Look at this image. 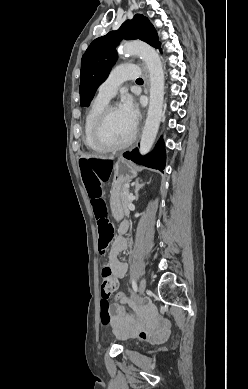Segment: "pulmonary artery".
Wrapping results in <instances>:
<instances>
[{
    "label": "pulmonary artery",
    "mask_w": 248,
    "mask_h": 389,
    "mask_svg": "<svg viewBox=\"0 0 248 389\" xmlns=\"http://www.w3.org/2000/svg\"><path fill=\"white\" fill-rule=\"evenodd\" d=\"M138 75L139 67L137 65L132 63L120 64L111 71L109 77L100 85L98 95L110 100L124 81L136 79Z\"/></svg>",
    "instance_id": "e3ab8cb5"
}]
</instances>
